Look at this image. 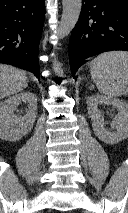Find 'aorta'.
<instances>
[{
  "instance_id": "obj_1",
  "label": "aorta",
  "mask_w": 128,
  "mask_h": 213,
  "mask_svg": "<svg viewBox=\"0 0 128 213\" xmlns=\"http://www.w3.org/2000/svg\"><path fill=\"white\" fill-rule=\"evenodd\" d=\"M62 5L63 12L57 29L59 39L68 36L75 27L80 16L82 0H62ZM53 69L57 73L63 74L61 64L56 60L53 61Z\"/></svg>"
}]
</instances>
